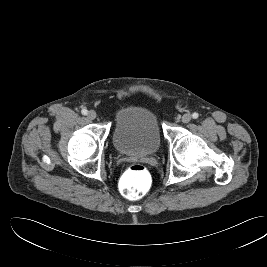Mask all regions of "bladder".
Wrapping results in <instances>:
<instances>
[{
    "label": "bladder",
    "mask_w": 267,
    "mask_h": 267,
    "mask_svg": "<svg viewBox=\"0 0 267 267\" xmlns=\"http://www.w3.org/2000/svg\"><path fill=\"white\" fill-rule=\"evenodd\" d=\"M161 140L158 119L151 109L130 105L116 115L112 144L118 153L128 156H148L159 149Z\"/></svg>",
    "instance_id": "31cf9c89"
}]
</instances>
